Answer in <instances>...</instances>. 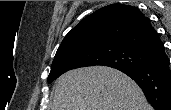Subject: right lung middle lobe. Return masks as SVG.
<instances>
[{
	"mask_svg": "<svg viewBox=\"0 0 171 110\" xmlns=\"http://www.w3.org/2000/svg\"><path fill=\"white\" fill-rule=\"evenodd\" d=\"M152 60L149 54L123 46L89 45L67 49L55 55L48 83L64 72L93 65L109 66L116 69L137 68Z\"/></svg>",
	"mask_w": 171,
	"mask_h": 110,
	"instance_id": "1",
	"label": "right lung middle lobe"
}]
</instances>
